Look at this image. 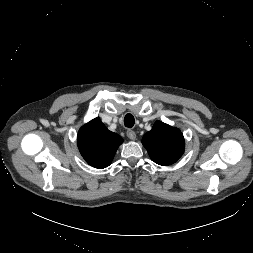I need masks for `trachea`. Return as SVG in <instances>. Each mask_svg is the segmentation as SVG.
<instances>
[{"label": "trachea", "instance_id": "1", "mask_svg": "<svg viewBox=\"0 0 253 253\" xmlns=\"http://www.w3.org/2000/svg\"><path fill=\"white\" fill-rule=\"evenodd\" d=\"M135 120L132 114H126L124 117V125L128 128H132L134 126Z\"/></svg>", "mask_w": 253, "mask_h": 253}]
</instances>
